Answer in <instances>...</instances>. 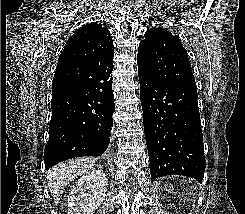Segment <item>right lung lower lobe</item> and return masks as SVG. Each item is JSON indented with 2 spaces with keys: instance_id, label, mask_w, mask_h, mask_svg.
Instances as JSON below:
<instances>
[{
  "instance_id": "98d812e1",
  "label": "right lung lower lobe",
  "mask_w": 245,
  "mask_h": 214,
  "mask_svg": "<svg viewBox=\"0 0 245 214\" xmlns=\"http://www.w3.org/2000/svg\"><path fill=\"white\" fill-rule=\"evenodd\" d=\"M113 65L95 69L88 86L76 92L52 91L45 169L82 156H100L110 143L115 110Z\"/></svg>"
}]
</instances>
